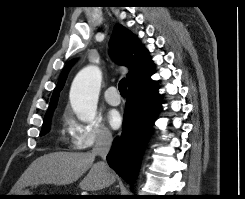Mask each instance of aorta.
Segmentation results:
<instances>
[{
	"mask_svg": "<svg viewBox=\"0 0 245 199\" xmlns=\"http://www.w3.org/2000/svg\"><path fill=\"white\" fill-rule=\"evenodd\" d=\"M101 71L97 66L82 69L73 80L70 90L71 106L83 122H92L96 117L101 86Z\"/></svg>",
	"mask_w": 245,
	"mask_h": 199,
	"instance_id": "762f6f07",
	"label": "aorta"
}]
</instances>
